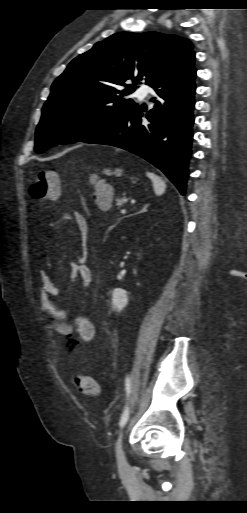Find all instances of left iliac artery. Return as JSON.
Instances as JSON below:
<instances>
[{
  "mask_svg": "<svg viewBox=\"0 0 247 513\" xmlns=\"http://www.w3.org/2000/svg\"><path fill=\"white\" fill-rule=\"evenodd\" d=\"M125 387H126L127 397H129L130 393H131V377L130 376L126 377ZM128 418H129V407L127 405L125 407L122 415H121V419H120V422H119L120 427H122V426H124L126 424Z\"/></svg>",
  "mask_w": 247,
  "mask_h": 513,
  "instance_id": "left-iliac-artery-1",
  "label": "left iliac artery"
}]
</instances>
